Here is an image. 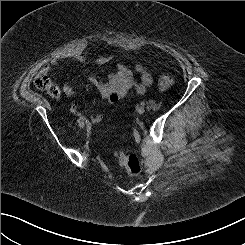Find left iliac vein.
Returning <instances> with one entry per match:
<instances>
[{"label":"left iliac vein","instance_id":"obj_1","mask_svg":"<svg viewBox=\"0 0 245 245\" xmlns=\"http://www.w3.org/2000/svg\"><path fill=\"white\" fill-rule=\"evenodd\" d=\"M137 112L139 114H143L145 112V108L144 107H139V108H137Z\"/></svg>","mask_w":245,"mask_h":245}]
</instances>
